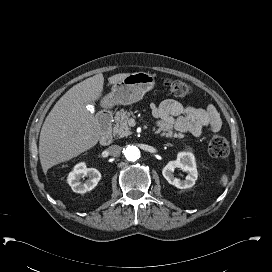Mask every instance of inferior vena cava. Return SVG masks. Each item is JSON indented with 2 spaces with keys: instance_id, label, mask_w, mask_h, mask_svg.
<instances>
[{
  "instance_id": "602c4592",
  "label": "inferior vena cava",
  "mask_w": 272,
  "mask_h": 272,
  "mask_svg": "<svg viewBox=\"0 0 272 272\" xmlns=\"http://www.w3.org/2000/svg\"><path fill=\"white\" fill-rule=\"evenodd\" d=\"M122 150V147H120L119 145H111L108 148V152L111 156H118L120 155Z\"/></svg>"
}]
</instances>
